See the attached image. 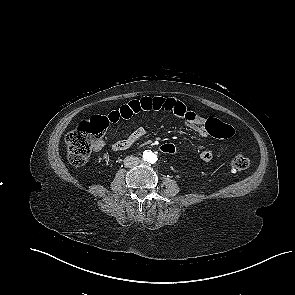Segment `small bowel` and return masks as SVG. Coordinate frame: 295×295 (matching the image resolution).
Listing matches in <instances>:
<instances>
[{
	"label": "small bowel",
	"mask_w": 295,
	"mask_h": 295,
	"mask_svg": "<svg viewBox=\"0 0 295 295\" xmlns=\"http://www.w3.org/2000/svg\"><path fill=\"white\" fill-rule=\"evenodd\" d=\"M149 111L172 113L176 117L182 119L191 131L200 136L205 137L210 134L206 128V124L210 119L189 110L184 103L174 98L142 97L140 99L132 100L120 106L118 109L110 111L103 117L106 119L107 123H116L121 119L127 120L134 115ZM145 135L146 130L143 127H139L128 137L114 142L112 149L116 152L125 151ZM97 147H102V144H98ZM199 157L202 161L209 162L213 159V153L209 149H203L199 152Z\"/></svg>",
	"instance_id": "1"
}]
</instances>
